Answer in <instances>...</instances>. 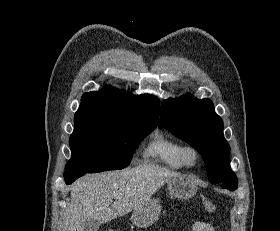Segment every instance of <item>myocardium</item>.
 Segmentation results:
<instances>
[{
	"instance_id": "1",
	"label": "myocardium",
	"mask_w": 280,
	"mask_h": 231,
	"mask_svg": "<svg viewBox=\"0 0 280 231\" xmlns=\"http://www.w3.org/2000/svg\"><path fill=\"white\" fill-rule=\"evenodd\" d=\"M189 150H192L194 151V153L196 154V157H197V163L195 166H190L186 160H185V154L187 151ZM179 157H180V161L183 165V167H185L186 169H189V170H193V169H196L201 161H202V153H201V150L199 149L198 146L192 144V143H184L182 144L181 148H180V153H179Z\"/></svg>"
}]
</instances>
